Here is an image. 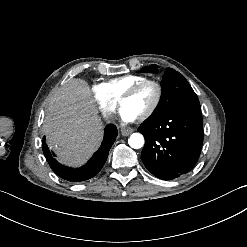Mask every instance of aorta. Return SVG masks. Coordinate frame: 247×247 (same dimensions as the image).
I'll list each match as a JSON object with an SVG mask.
<instances>
[{
    "label": "aorta",
    "mask_w": 247,
    "mask_h": 247,
    "mask_svg": "<svg viewBox=\"0 0 247 247\" xmlns=\"http://www.w3.org/2000/svg\"><path fill=\"white\" fill-rule=\"evenodd\" d=\"M144 142V137L140 133H133L128 139V144L134 149H140Z\"/></svg>",
    "instance_id": "aorta-1"
}]
</instances>
